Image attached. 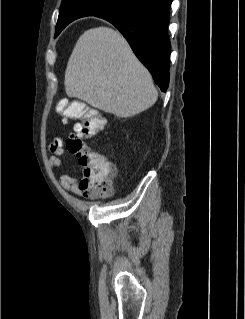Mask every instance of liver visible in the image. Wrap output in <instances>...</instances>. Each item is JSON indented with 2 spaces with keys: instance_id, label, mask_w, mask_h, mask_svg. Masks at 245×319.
<instances>
[{
  "instance_id": "1",
  "label": "liver",
  "mask_w": 245,
  "mask_h": 319,
  "mask_svg": "<svg viewBox=\"0 0 245 319\" xmlns=\"http://www.w3.org/2000/svg\"><path fill=\"white\" fill-rule=\"evenodd\" d=\"M65 91L118 117L137 115L158 98L152 76L117 31L97 27L78 39L65 71Z\"/></svg>"
}]
</instances>
